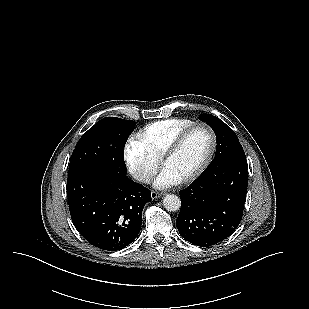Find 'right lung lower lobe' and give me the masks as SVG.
<instances>
[{
  "mask_svg": "<svg viewBox=\"0 0 309 309\" xmlns=\"http://www.w3.org/2000/svg\"><path fill=\"white\" fill-rule=\"evenodd\" d=\"M67 196L73 224L93 246L117 251L131 244L151 192L128 177L98 168L69 174Z\"/></svg>",
  "mask_w": 309,
  "mask_h": 309,
  "instance_id": "obj_1",
  "label": "right lung lower lobe"
}]
</instances>
